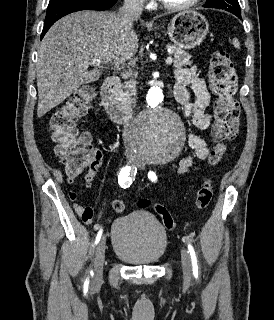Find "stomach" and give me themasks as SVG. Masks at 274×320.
Masks as SVG:
<instances>
[{
    "mask_svg": "<svg viewBox=\"0 0 274 320\" xmlns=\"http://www.w3.org/2000/svg\"><path fill=\"white\" fill-rule=\"evenodd\" d=\"M209 24L198 12H180L168 24L167 34L176 48L193 50L205 40Z\"/></svg>",
    "mask_w": 274,
    "mask_h": 320,
    "instance_id": "1",
    "label": "stomach"
}]
</instances>
